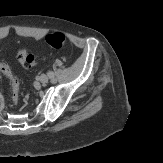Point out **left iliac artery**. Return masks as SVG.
Listing matches in <instances>:
<instances>
[{
	"label": "left iliac artery",
	"mask_w": 163,
	"mask_h": 163,
	"mask_svg": "<svg viewBox=\"0 0 163 163\" xmlns=\"http://www.w3.org/2000/svg\"><path fill=\"white\" fill-rule=\"evenodd\" d=\"M47 75L51 78L54 79V73L52 71H48Z\"/></svg>",
	"instance_id": "44dca946"
}]
</instances>
